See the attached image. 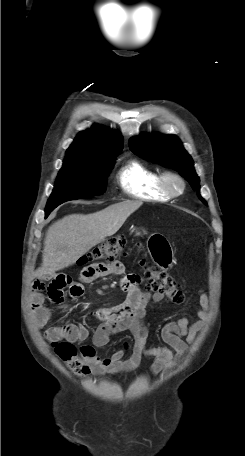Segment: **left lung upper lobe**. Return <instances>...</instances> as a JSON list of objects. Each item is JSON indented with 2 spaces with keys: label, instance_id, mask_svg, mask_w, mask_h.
<instances>
[{
  "label": "left lung upper lobe",
  "instance_id": "left-lung-upper-lobe-1",
  "mask_svg": "<svg viewBox=\"0 0 245 456\" xmlns=\"http://www.w3.org/2000/svg\"><path fill=\"white\" fill-rule=\"evenodd\" d=\"M130 150L152 162L172 168L179 172L199 194V178L194 170L191 156L185 151L180 140L174 135H150L144 138L136 137L129 141Z\"/></svg>",
  "mask_w": 245,
  "mask_h": 456
}]
</instances>
